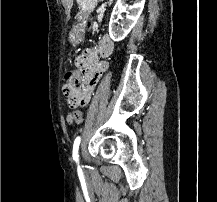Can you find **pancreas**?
Wrapping results in <instances>:
<instances>
[{
	"mask_svg": "<svg viewBox=\"0 0 217 202\" xmlns=\"http://www.w3.org/2000/svg\"><path fill=\"white\" fill-rule=\"evenodd\" d=\"M94 33H95V35H100L101 32H100V30H95Z\"/></svg>",
	"mask_w": 217,
	"mask_h": 202,
	"instance_id": "cf45deb5",
	"label": "pancreas"
}]
</instances>
